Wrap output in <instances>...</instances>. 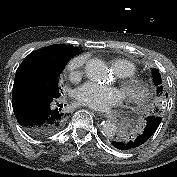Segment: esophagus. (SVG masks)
I'll return each instance as SVG.
<instances>
[{"instance_id":"obj_1","label":"esophagus","mask_w":177,"mask_h":177,"mask_svg":"<svg viewBox=\"0 0 177 177\" xmlns=\"http://www.w3.org/2000/svg\"><path fill=\"white\" fill-rule=\"evenodd\" d=\"M100 117H101L102 119H104V120H107V119L109 118V115H108L107 113H105V112H102V113L100 114Z\"/></svg>"}]
</instances>
